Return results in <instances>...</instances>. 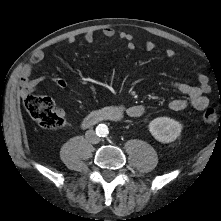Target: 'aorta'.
Segmentation results:
<instances>
[{
  "instance_id": "obj_1",
  "label": "aorta",
  "mask_w": 221,
  "mask_h": 221,
  "mask_svg": "<svg viewBox=\"0 0 221 221\" xmlns=\"http://www.w3.org/2000/svg\"><path fill=\"white\" fill-rule=\"evenodd\" d=\"M96 133L100 137H105L108 134V127L105 124H99L96 127Z\"/></svg>"
}]
</instances>
